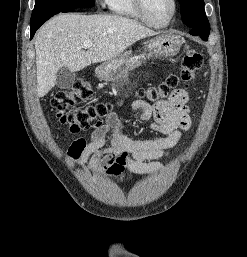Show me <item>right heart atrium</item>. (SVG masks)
<instances>
[{"label":"right heart atrium","instance_id":"right-heart-atrium-1","mask_svg":"<svg viewBox=\"0 0 247 257\" xmlns=\"http://www.w3.org/2000/svg\"><path fill=\"white\" fill-rule=\"evenodd\" d=\"M100 5H106L108 0H98Z\"/></svg>","mask_w":247,"mask_h":257}]
</instances>
